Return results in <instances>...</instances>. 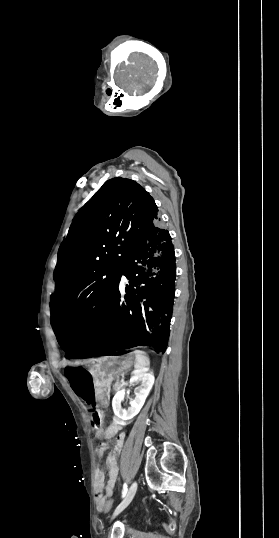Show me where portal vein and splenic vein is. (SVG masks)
Wrapping results in <instances>:
<instances>
[{"instance_id": "1", "label": "portal vein and splenic vein", "mask_w": 279, "mask_h": 538, "mask_svg": "<svg viewBox=\"0 0 279 538\" xmlns=\"http://www.w3.org/2000/svg\"><path fill=\"white\" fill-rule=\"evenodd\" d=\"M120 383H125V377H121Z\"/></svg>"}]
</instances>
